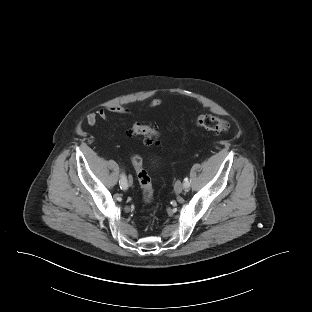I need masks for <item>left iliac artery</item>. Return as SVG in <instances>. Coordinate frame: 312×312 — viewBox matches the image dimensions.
<instances>
[{
  "mask_svg": "<svg viewBox=\"0 0 312 312\" xmlns=\"http://www.w3.org/2000/svg\"><path fill=\"white\" fill-rule=\"evenodd\" d=\"M189 186H190L189 179H188V177H186V178L184 179V187H185V188H189Z\"/></svg>",
  "mask_w": 312,
  "mask_h": 312,
  "instance_id": "left-iliac-artery-1",
  "label": "left iliac artery"
}]
</instances>
